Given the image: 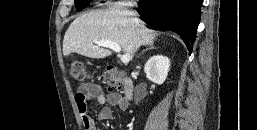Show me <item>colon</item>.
I'll return each mask as SVG.
<instances>
[{
  "label": "colon",
  "instance_id": "1",
  "mask_svg": "<svg viewBox=\"0 0 257 130\" xmlns=\"http://www.w3.org/2000/svg\"><path fill=\"white\" fill-rule=\"evenodd\" d=\"M70 75L77 81H84L87 79L88 74L85 66L82 63H73L70 67ZM104 81L107 84L109 90L121 91L124 86V79L121 72L109 68L104 74Z\"/></svg>",
  "mask_w": 257,
  "mask_h": 130
}]
</instances>
